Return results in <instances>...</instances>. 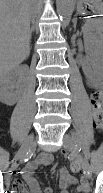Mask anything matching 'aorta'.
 Wrapping results in <instances>:
<instances>
[{
	"label": "aorta",
	"mask_w": 103,
	"mask_h": 193,
	"mask_svg": "<svg viewBox=\"0 0 103 193\" xmlns=\"http://www.w3.org/2000/svg\"><path fill=\"white\" fill-rule=\"evenodd\" d=\"M74 0H56V10L63 25H67L73 13Z\"/></svg>",
	"instance_id": "1"
}]
</instances>
